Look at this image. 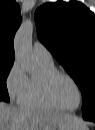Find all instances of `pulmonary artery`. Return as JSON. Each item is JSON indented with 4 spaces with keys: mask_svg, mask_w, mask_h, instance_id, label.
I'll use <instances>...</instances> for the list:
<instances>
[{
    "mask_svg": "<svg viewBox=\"0 0 95 130\" xmlns=\"http://www.w3.org/2000/svg\"><path fill=\"white\" fill-rule=\"evenodd\" d=\"M33 54L35 58L45 64H53V57L49 50L39 41H36L33 45Z\"/></svg>",
    "mask_w": 95,
    "mask_h": 130,
    "instance_id": "pulmonary-artery-1",
    "label": "pulmonary artery"
}]
</instances>
